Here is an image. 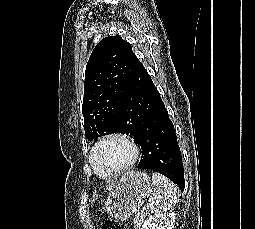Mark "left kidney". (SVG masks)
<instances>
[{
    "label": "left kidney",
    "mask_w": 255,
    "mask_h": 229,
    "mask_svg": "<svg viewBox=\"0 0 255 229\" xmlns=\"http://www.w3.org/2000/svg\"><path fill=\"white\" fill-rule=\"evenodd\" d=\"M175 223V214L155 213L150 215L142 225L141 229H173Z\"/></svg>",
    "instance_id": "left-kidney-1"
}]
</instances>
